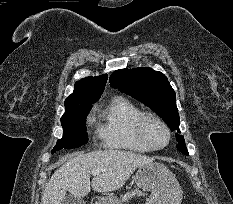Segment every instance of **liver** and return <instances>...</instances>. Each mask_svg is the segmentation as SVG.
<instances>
[{
	"mask_svg": "<svg viewBox=\"0 0 233 204\" xmlns=\"http://www.w3.org/2000/svg\"><path fill=\"white\" fill-rule=\"evenodd\" d=\"M153 158L130 151L97 150L76 154L55 171L42 193L41 204H61L67 191L73 196H86L91 187L107 193L123 187L140 166L153 162ZM93 169H105L92 178Z\"/></svg>",
	"mask_w": 233,
	"mask_h": 204,
	"instance_id": "1",
	"label": "liver"
}]
</instances>
